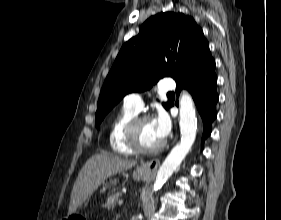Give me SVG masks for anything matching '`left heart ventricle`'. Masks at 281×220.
<instances>
[{
  "mask_svg": "<svg viewBox=\"0 0 281 220\" xmlns=\"http://www.w3.org/2000/svg\"><path fill=\"white\" fill-rule=\"evenodd\" d=\"M138 138L143 147L152 148L159 145L162 141L158 137L152 120L143 121L138 130Z\"/></svg>",
  "mask_w": 281,
  "mask_h": 220,
  "instance_id": "1",
  "label": "left heart ventricle"
}]
</instances>
